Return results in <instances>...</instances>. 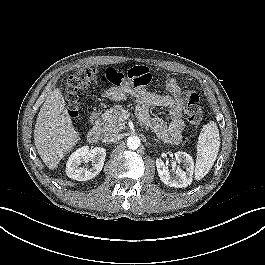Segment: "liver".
Here are the masks:
<instances>
[{"label":"liver","mask_w":265,"mask_h":265,"mask_svg":"<svg viewBox=\"0 0 265 265\" xmlns=\"http://www.w3.org/2000/svg\"><path fill=\"white\" fill-rule=\"evenodd\" d=\"M80 140L72 124L61 91L55 88L41 107L34 129L38 154L49 169H55L64 155Z\"/></svg>","instance_id":"1"}]
</instances>
